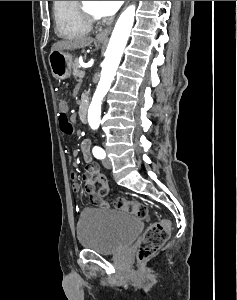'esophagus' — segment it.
Wrapping results in <instances>:
<instances>
[{
	"label": "esophagus",
	"instance_id": "esophagus-1",
	"mask_svg": "<svg viewBox=\"0 0 237 300\" xmlns=\"http://www.w3.org/2000/svg\"><path fill=\"white\" fill-rule=\"evenodd\" d=\"M130 1H126V6L129 4ZM111 26L107 27L106 29H104L103 31H101L100 33H98V35L96 36V39L98 41H103L106 40L111 32Z\"/></svg>",
	"mask_w": 237,
	"mask_h": 300
}]
</instances>
